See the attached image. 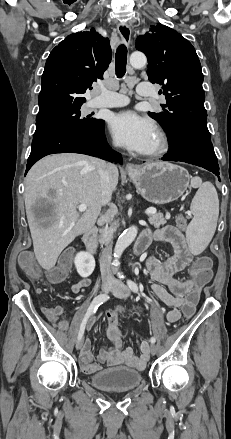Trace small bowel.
Wrapping results in <instances>:
<instances>
[{"label": "small bowel", "instance_id": "c3829d8e", "mask_svg": "<svg viewBox=\"0 0 231 439\" xmlns=\"http://www.w3.org/2000/svg\"><path fill=\"white\" fill-rule=\"evenodd\" d=\"M141 238H144L149 244L152 240L165 244L170 247L172 254L165 260L160 261L151 255L146 260V268L154 281L152 285L153 292L156 296L169 307L166 318L169 322H176L181 317L180 304L187 291L194 287L192 279L181 280L176 274L184 270L192 260L190 252L183 233L174 226H166L152 233L145 232ZM90 278H84L71 288L73 294H77L81 289L90 286ZM50 319L61 329L68 328V322L64 314V308L57 306L50 309ZM107 328L106 336L112 344L108 348H103L97 359L93 361V355L90 349V342L86 340L79 356L81 369L88 374L96 373L101 369V364L108 366L126 365L129 367L143 370L149 360L148 345L146 342L140 344L141 355L136 356L131 347L123 348L122 334L118 326V316L114 312L106 315ZM92 322L87 326L90 329Z\"/></svg>", "mask_w": 231, "mask_h": 439}]
</instances>
